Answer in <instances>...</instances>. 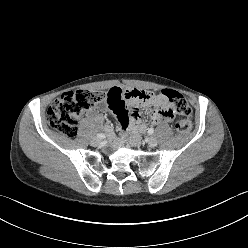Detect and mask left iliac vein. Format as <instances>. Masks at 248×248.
I'll return each mask as SVG.
<instances>
[{
    "label": "left iliac vein",
    "mask_w": 248,
    "mask_h": 248,
    "mask_svg": "<svg viewBox=\"0 0 248 248\" xmlns=\"http://www.w3.org/2000/svg\"><path fill=\"white\" fill-rule=\"evenodd\" d=\"M148 145L150 147H156L157 146V139L155 137H150L148 140Z\"/></svg>",
    "instance_id": "obj_1"
}]
</instances>
